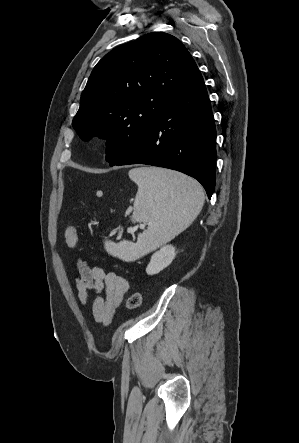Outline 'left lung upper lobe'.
Instances as JSON below:
<instances>
[{
  "mask_svg": "<svg viewBox=\"0 0 299 443\" xmlns=\"http://www.w3.org/2000/svg\"><path fill=\"white\" fill-rule=\"evenodd\" d=\"M198 70L176 37L152 32L119 46L94 67L72 125L88 141L107 138L106 161L116 164Z\"/></svg>",
  "mask_w": 299,
  "mask_h": 443,
  "instance_id": "1",
  "label": "left lung upper lobe"
}]
</instances>
